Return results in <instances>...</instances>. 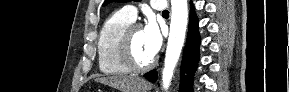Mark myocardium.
Returning a JSON list of instances; mask_svg holds the SVG:
<instances>
[{"mask_svg": "<svg viewBox=\"0 0 289 92\" xmlns=\"http://www.w3.org/2000/svg\"><path fill=\"white\" fill-rule=\"evenodd\" d=\"M142 28L141 24L131 23L123 31L119 43H118V53L121 61L126 67L134 72H143L152 68L156 63V58L153 57L148 63L141 64L139 63L133 54L132 50V39L133 34L137 29Z\"/></svg>", "mask_w": 289, "mask_h": 92, "instance_id": "myocardium-1", "label": "myocardium"}]
</instances>
